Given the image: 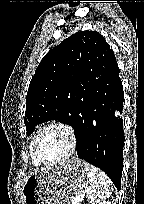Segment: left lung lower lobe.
Returning <instances> with one entry per match:
<instances>
[{
	"mask_svg": "<svg viewBox=\"0 0 144 204\" xmlns=\"http://www.w3.org/2000/svg\"><path fill=\"white\" fill-rule=\"evenodd\" d=\"M116 58L101 63L90 86L82 129L76 134L78 157L103 170L121 188L124 94Z\"/></svg>",
	"mask_w": 144,
	"mask_h": 204,
	"instance_id": "left-lung-lower-lobe-1",
	"label": "left lung lower lobe"
}]
</instances>
